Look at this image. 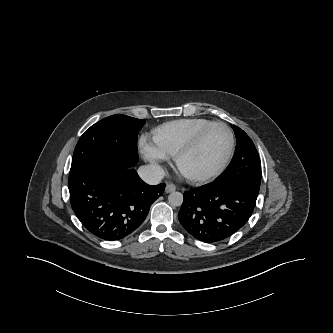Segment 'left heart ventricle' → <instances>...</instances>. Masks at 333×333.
Instances as JSON below:
<instances>
[{
  "label": "left heart ventricle",
  "instance_id": "obj_1",
  "mask_svg": "<svg viewBox=\"0 0 333 333\" xmlns=\"http://www.w3.org/2000/svg\"><path fill=\"white\" fill-rule=\"evenodd\" d=\"M229 149V136L222 127L211 129L198 147L181 161V168L191 174L204 175L216 170Z\"/></svg>",
  "mask_w": 333,
  "mask_h": 333
}]
</instances>
